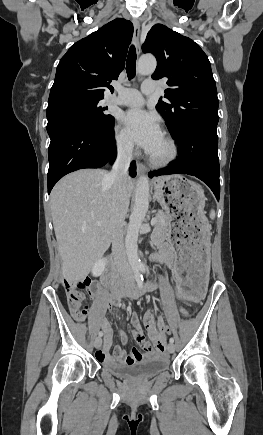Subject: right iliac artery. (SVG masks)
Masks as SVG:
<instances>
[{
	"instance_id": "82829eb1",
	"label": "right iliac artery",
	"mask_w": 263,
	"mask_h": 435,
	"mask_svg": "<svg viewBox=\"0 0 263 435\" xmlns=\"http://www.w3.org/2000/svg\"><path fill=\"white\" fill-rule=\"evenodd\" d=\"M135 277H136L138 287H141L143 284V275L140 273V271L138 269L135 271ZM136 296H138V293H135L133 297H136ZM98 335H99V337H102L103 333L99 332Z\"/></svg>"
}]
</instances>
